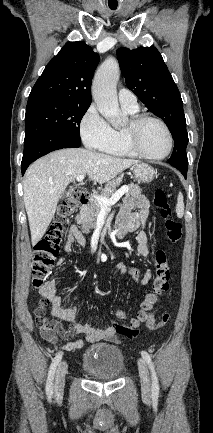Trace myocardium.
<instances>
[{"label": "myocardium", "mask_w": 213, "mask_h": 433, "mask_svg": "<svg viewBox=\"0 0 213 433\" xmlns=\"http://www.w3.org/2000/svg\"><path fill=\"white\" fill-rule=\"evenodd\" d=\"M147 121H154L157 122L162 126V128L165 130L168 140H169V146L167 151L162 155H151L145 152L140 143H139V131L141 126L147 122ZM123 134L125 141L128 145V147L137 155L146 159L151 160H163L167 158L174 146V138L173 134L169 128V126L166 124L164 120H162L159 117L149 115V114H136L132 116L128 122V124L123 128Z\"/></svg>", "instance_id": "myocardium-1"}]
</instances>
